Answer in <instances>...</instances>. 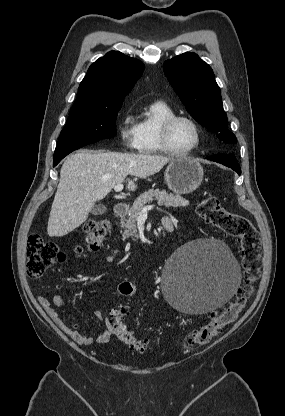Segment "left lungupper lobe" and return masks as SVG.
I'll use <instances>...</instances> for the list:
<instances>
[{"label":"left lung upper lobe","mask_w":285,"mask_h":416,"mask_svg":"<svg viewBox=\"0 0 285 416\" xmlns=\"http://www.w3.org/2000/svg\"><path fill=\"white\" fill-rule=\"evenodd\" d=\"M163 69L192 117L224 143L236 144L237 138L227 127L221 91L211 67L197 54L186 52L167 60Z\"/></svg>","instance_id":"5c2ea615"}]
</instances>
